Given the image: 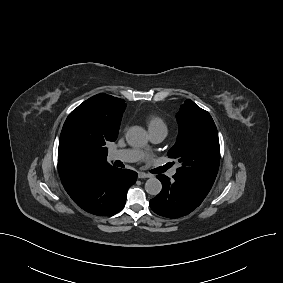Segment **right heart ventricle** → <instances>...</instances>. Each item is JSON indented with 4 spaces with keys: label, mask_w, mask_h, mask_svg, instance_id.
I'll return each mask as SVG.
<instances>
[{
    "label": "right heart ventricle",
    "mask_w": 283,
    "mask_h": 283,
    "mask_svg": "<svg viewBox=\"0 0 283 283\" xmlns=\"http://www.w3.org/2000/svg\"><path fill=\"white\" fill-rule=\"evenodd\" d=\"M147 125L149 131L157 130V129H164L167 131V125L163 118L158 115H150L147 117Z\"/></svg>",
    "instance_id": "right-heart-ventricle-1"
}]
</instances>
